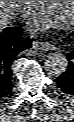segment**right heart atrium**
Returning a JSON list of instances; mask_svg holds the SVG:
<instances>
[{"mask_svg":"<svg viewBox=\"0 0 74 122\" xmlns=\"http://www.w3.org/2000/svg\"><path fill=\"white\" fill-rule=\"evenodd\" d=\"M24 5H26L28 8H32L35 7L36 4L40 1H23Z\"/></svg>","mask_w":74,"mask_h":122,"instance_id":"1","label":"right heart atrium"}]
</instances>
